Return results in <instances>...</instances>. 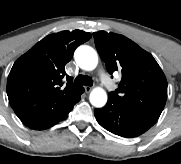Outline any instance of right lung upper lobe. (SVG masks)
I'll use <instances>...</instances> for the list:
<instances>
[{"instance_id":"right-lung-upper-lobe-1","label":"right lung upper lobe","mask_w":181,"mask_h":164,"mask_svg":"<svg viewBox=\"0 0 181 164\" xmlns=\"http://www.w3.org/2000/svg\"><path fill=\"white\" fill-rule=\"evenodd\" d=\"M91 37L81 30L53 33L17 59L8 76L7 95L18 117L55 115L83 92L69 79L62 87V79L74 50Z\"/></svg>"}]
</instances>
